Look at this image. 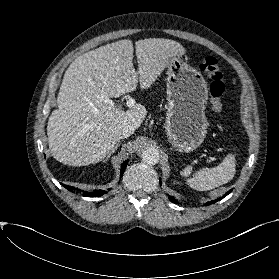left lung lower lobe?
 Returning a JSON list of instances; mask_svg holds the SVG:
<instances>
[{
    "label": "left lung lower lobe",
    "instance_id": "left-lung-lower-lobe-1",
    "mask_svg": "<svg viewBox=\"0 0 279 279\" xmlns=\"http://www.w3.org/2000/svg\"><path fill=\"white\" fill-rule=\"evenodd\" d=\"M160 184H161V181H160ZM231 191H232V190H229L222 198H224L225 196H227ZM169 199H170L172 202L177 203V200L174 199L173 197H169ZM215 202H216V200H215V201L208 202V203H206V205H209V204L215 203Z\"/></svg>",
    "mask_w": 279,
    "mask_h": 279
}]
</instances>
